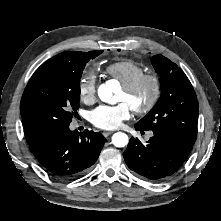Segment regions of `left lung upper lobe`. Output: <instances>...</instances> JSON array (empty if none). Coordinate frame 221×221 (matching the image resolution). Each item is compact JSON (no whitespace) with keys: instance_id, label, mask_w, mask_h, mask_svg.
Wrapping results in <instances>:
<instances>
[{"instance_id":"left-lung-upper-lobe-1","label":"left lung upper lobe","mask_w":221,"mask_h":221,"mask_svg":"<svg viewBox=\"0 0 221 221\" xmlns=\"http://www.w3.org/2000/svg\"><path fill=\"white\" fill-rule=\"evenodd\" d=\"M152 65L161 77V96L136 126L193 145L197 137L199 105L189 79L175 63L160 54L153 56Z\"/></svg>"}]
</instances>
